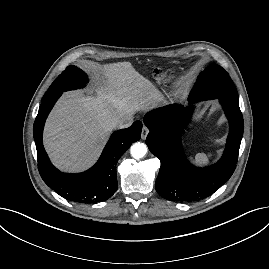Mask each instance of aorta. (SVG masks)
I'll use <instances>...</instances> for the list:
<instances>
[{"label": "aorta", "mask_w": 269, "mask_h": 269, "mask_svg": "<svg viewBox=\"0 0 269 269\" xmlns=\"http://www.w3.org/2000/svg\"><path fill=\"white\" fill-rule=\"evenodd\" d=\"M147 146L144 143L136 142L130 148L131 156L135 159L143 158L147 153Z\"/></svg>", "instance_id": "obj_1"}]
</instances>
